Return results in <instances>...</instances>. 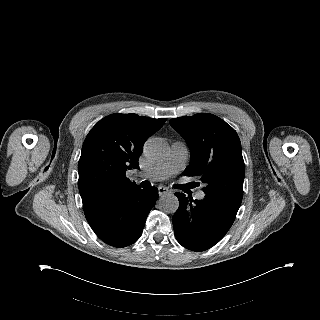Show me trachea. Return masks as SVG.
I'll return each instance as SVG.
<instances>
[{
	"label": "trachea",
	"instance_id": "trachea-1",
	"mask_svg": "<svg viewBox=\"0 0 320 320\" xmlns=\"http://www.w3.org/2000/svg\"><path fill=\"white\" fill-rule=\"evenodd\" d=\"M143 183H147L148 184V182L147 181H144ZM149 185H147V187H148Z\"/></svg>",
	"mask_w": 320,
	"mask_h": 320
}]
</instances>
